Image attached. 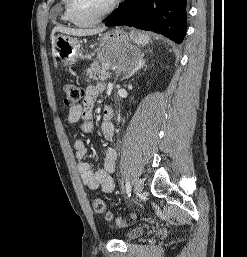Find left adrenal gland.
Segmentation results:
<instances>
[{
	"label": "left adrenal gland",
	"instance_id": "1",
	"mask_svg": "<svg viewBox=\"0 0 247 257\" xmlns=\"http://www.w3.org/2000/svg\"><path fill=\"white\" fill-rule=\"evenodd\" d=\"M143 56H144V54H142L140 56V59H139L137 65L130 72H128L126 74V77L124 79H128V78L132 77L139 69L144 67L145 60H143Z\"/></svg>",
	"mask_w": 247,
	"mask_h": 257
}]
</instances>
